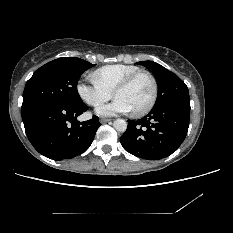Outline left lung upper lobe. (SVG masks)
Returning <instances> with one entry per match:
<instances>
[{"mask_svg":"<svg viewBox=\"0 0 233 233\" xmlns=\"http://www.w3.org/2000/svg\"><path fill=\"white\" fill-rule=\"evenodd\" d=\"M137 64L149 69L157 79L159 94L153 108L178 100L189 99L188 87L176 74L153 61H142L137 62Z\"/></svg>","mask_w":233,"mask_h":233,"instance_id":"left-lung-upper-lobe-1","label":"left lung upper lobe"}]
</instances>
